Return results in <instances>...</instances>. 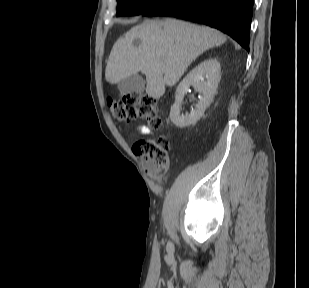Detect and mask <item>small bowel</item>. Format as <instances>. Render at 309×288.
I'll list each match as a JSON object with an SVG mask.
<instances>
[{
	"instance_id": "obj_1",
	"label": "small bowel",
	"mask_w": 309,
	"mask_h": 288,
	"mask_svg": "<svg viewBox=\"0 0 309 288\" xmlns=\"http://www.w3.org/2000/svg\"><path fill=\"white\" fill-rule=\"evenodd\" d=\"M138 132L142 135H150L152 134V132L150 131V129L146 126H139L138 127Z\"/></svg>"
}]
</instances>
